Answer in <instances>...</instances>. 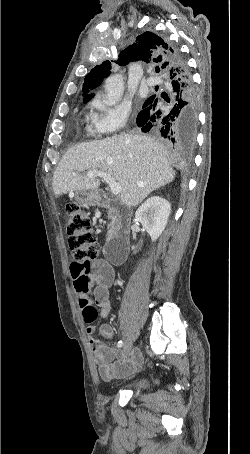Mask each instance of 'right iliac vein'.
<instances>
[{
	"label": "right iliac vein",
	"mask_w": 250,
	"mask_h": 454,
	"mask_svg": "<svg viewBox=\"0 0 250 454\" xmlns=\"http://www.w3.org/2000/svg\"><path fill=\"white\" fill-rule=\"evenodd\" d=\"M131 348H132V340L128 339L123 346V352L127 353L131 350Z\"/></svg>",
	"instance_id": "63e3f726"
}]
</instances>
